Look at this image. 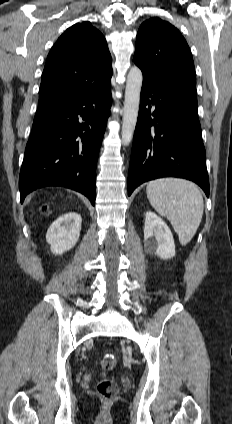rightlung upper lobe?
Returning <instances> with one entry per match:
<instances>
[{
    "instance_id": "obj_1",
    "label": "right lung upper lobe",
    "mask_w": 232,
    "mask_h": 424,
    "mask_svg": "<svg viewBox=\"0 0 232 424\" xmlns=\"http://www.w3.org/2000/svg\"><path fill=\"white\" fill-rule=\"evenodd\" d=\"M111 55L104 36L90 22L73 25L50 50L38 104L83 96L110 85Z\"/></svg>"
}]
</instances>
